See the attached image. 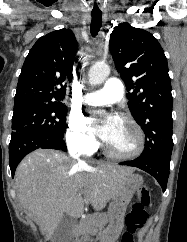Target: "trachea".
<instances>
[{"mask_svg": "<svg viewBox=\"0 0 187 242\" xmlns=\"http://www.w3.org/2000/svg\"><path fill=\"white\" fill-rule=\"evenodd\" d=\"M102 26V13L92 12V21L90 31L93 37H95Z\"/></svg>", "mask_w": 187, "mask_h": 242, "instance_id": "1", "label": "trachea"}]
</instances>
